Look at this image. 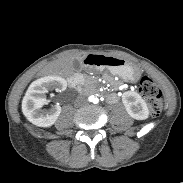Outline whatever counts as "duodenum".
<instances>
[{"instance_id": "obj_1", "label": "duodenum", "mask_w": 183, "mask_h": 183, "mask_svg": "<svg viewBox=\"0 0 183 183\" xmlns=\"http://www.w3.org/2000/svg\"><path fill=\"white\" fill-rule=\"evenodd\" d=\"M84 82L85 77L79 70L74 71L72 77L69 79V84L71 87H75L76 85H82Z\"/></svg>"}]
</instances>
